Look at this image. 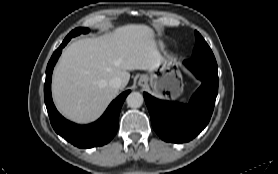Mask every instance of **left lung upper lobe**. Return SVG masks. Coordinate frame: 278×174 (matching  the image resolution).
<instances>
[{"mask_svg":"<svg viewBox=\"0 0 278 174\" xmlns=\"http://www.w3.org/2000/svg\"><path fill=\"white\" fill-rule=\"evenodd\" d=\"M196 44L193 49L191 59H197L207 63L208 65L217 68V63L209 45L203 39L199 32L195 31Z\"/></svg>","mask_w":278,"mask_h":174,"instance_id":"1","label":"left lung upper lobe"}]
</instances>
